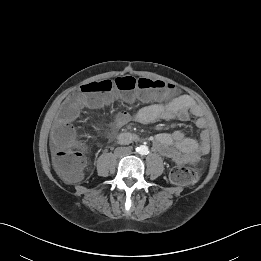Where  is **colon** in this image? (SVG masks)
I'll use <instances>...</instances> for the list:
<instances>
[{
  "label": "colon",
  "mask_w": 261,
  "mask_h": 261,
  "mask_svg": "<svg viewBox=\"0 0 261 261\" xmlns=\"http://www.w3.org/2000/svg\"><path fill=\"white\" fill-rule=\"evenodd\" d=\"M116 90L122 93L125 101L151 102L165 100L175 94L174 86L161 80L144 77L124 76L116 79H102L79 86L61 107L59 111L61 120L52 132L59 146L54 157V165L66 180H79L85 167L83 141L68 121L75 117L82 104L101 106L102 96L110 95ZM196 176V172L185 166L183 162H177L170 171V179L177 185L191 184Z\"/></svg>",
  "instance_id": "5ec220e1"
}]
</instances>
